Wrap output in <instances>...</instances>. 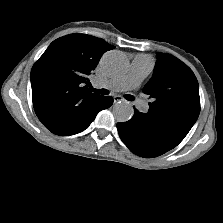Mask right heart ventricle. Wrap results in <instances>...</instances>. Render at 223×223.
<instances>
[{"mask_svg": "<svg viewBox=\"0 0 223 223\" xmlns=\"http://www.w3.org/2000/svg\"><path fill=\"white\" fill-rule=\"evenodd\" d=\"M135 61H137L138 63H146L148 62V58L143 54H139L136 56Z\"/></svg>", "mask_w": 223, "mask_h": 223, "instance_id": "right-heart-ventricle-1", "label": "right heart ventricle"}]
</instances>
